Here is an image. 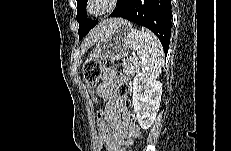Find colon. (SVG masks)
<instances>
[{"instance_id":"obj_1","label":"colon","mask_w":231,"mask_h":151,"mask_svg":"<svg viewBox=\"0 0 231 151\" xmlns=\"http://www.w3.org/2000/svg\"><path fill=\"white\" fill-rule=\"evenodd\" d=\"M114 65L109 60L89 59L85 62L83 67V78L88 87L93 88L98 83L101 74L104 71H113ZM128 85L125 82H120L117 87V93L121 96H127ZM126 106L130 103L126 101ZM96 123L98 128L99 146L98 151H111L109 145L110 129L105 121L104 113L101 110L96 112Z\"/></svg>"}]
</instances>
